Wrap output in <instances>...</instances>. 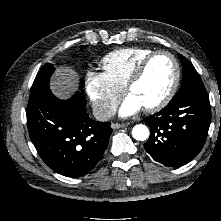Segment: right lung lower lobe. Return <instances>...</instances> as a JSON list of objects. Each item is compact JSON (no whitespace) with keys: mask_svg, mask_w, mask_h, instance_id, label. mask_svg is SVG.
<instances>
[{"mask_svg":"<svg viewBox=\"0 0 221 221\" xmlns=\"http://www.w3.org/2000/svg\"><path fill=\"white\" fill-rule=\"evenodd\" d=\"M85 105L80 92L60 100L47 88L30 96L27 106L31 141L42 160L65 176L87 174L103 155L112 133L110 122L92 120Z\"/></svg>","mask_w":221,"mask_h":221,"instance_id":"98d812e1","label":"right lung lower lobe"}]
</instances>
